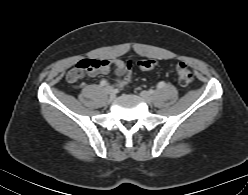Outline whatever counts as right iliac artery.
I'll list each match as a JSON object with an SVG mask.
<instances>
[{
    "mask_svg": "<svg viewBox=\"0 0 248 195\" xmlns=\"http://www.w3.org/2000/svg\"><path fill=\"white\" fill-rule=\"evenodd\" d=\"M100 85H101V86H105V85H107V82H106L105 80H102V81L100 82Z\"/></svg>",
    "mask_w": 248,
    "mask_h": 195,
    "instance_id": "82829eb1",
    "label": "right iliac artery"
}]
</instances>
